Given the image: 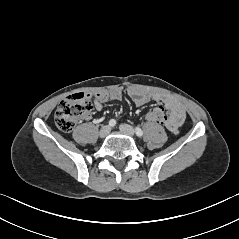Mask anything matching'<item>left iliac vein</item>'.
I'll list each match as a JSON object with an SVG mask.
<instances>
[{"label":"left iliac vein","mask_w":239,"mask_h":239,"mask_svg":"<svg viewBox=\"0 0 239 239\" xmlns=\"http://www.w3.org/2000/svg\"><path fill=\"white\" fill-rule=\"evenodd\" d=\"M119 128H120L121 132H123L129 136H133L135 133L134 128L128 124H122V125H120Z\"/></svg>","instance_id":"obj_1"}]
</instances>
